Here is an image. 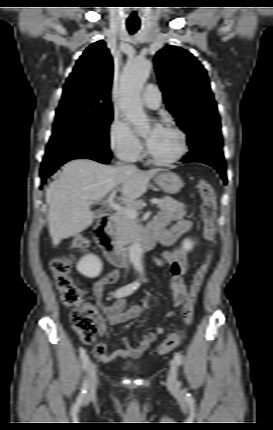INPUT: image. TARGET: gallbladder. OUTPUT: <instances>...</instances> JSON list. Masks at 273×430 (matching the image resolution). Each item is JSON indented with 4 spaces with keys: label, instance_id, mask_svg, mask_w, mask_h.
Instances as JSON below:
<instances>
[{
    "label": "gallbladder",
    "instance_id": "obj_1",
    "mask_svg": "<svg viewBox=\"0 0 273 430\" xmlns=\"http://www.w3.org/2000/svg\"><path fill=\"white\" fill-rule=\"evenodd\" d=\"M101 215H102V212H100L99 210L94 212L95 217H100Z\"/></svg>",
    "mask_w": 273,
    "mask_h": 430
}]
</instances>
